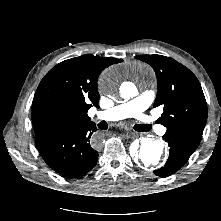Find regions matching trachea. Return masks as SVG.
<instances>
[{"mask_svg": "<svg viewBox=\"0 0 221 221\" xmlns=\"http://www.w3.org/2000/svg\"><path fill=\"white\" fill-rule=\"evenodd\" d=\"M134 129L141 132H147L150 130V128L144 124L135 125Z\"/></svg>", "mask_w": 221, "mask_h": 221, "instance_id": "1", "label": "trachea"}]
</instances>
